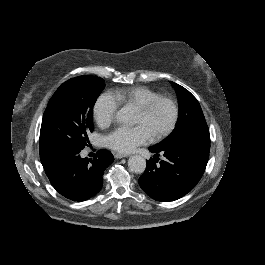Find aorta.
<instances>
[{
	"mask_svg": "<svg viewBox=\"0 0 265 265\" xmlns=\"http://www.w3.org/2000/svg\"><path fill=\"white\" fill-rule=\"evenodd\" d=\"M118 116L125 121L128 115L123 110L119 112ZM128 167L134 173H142L146 168V160L141 155H131L128 159Z\"/></svg>",
	"mask_w": 265,
	"mask_h": 265,
	"instance_id": "1",
	"label": "aorta"
}]
</instances>
